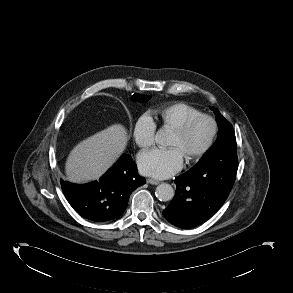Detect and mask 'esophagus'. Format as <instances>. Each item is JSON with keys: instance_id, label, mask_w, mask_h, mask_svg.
Listing matches in <instances>:
<instances>
[{"instance_id": "1", "label": "esophagus", "mask_w": 293, "mask_h": 293, "mask_svg": "<svg viewBox=\"0 0 293 293\" xmlns=\"http://www.w3.org/2000/svg\"><path fill=\"white\" fill-rule=\"evenodd\" d=\"M147 183L152 184V185L160 184V182L158 180H155V179H152V178H148Z\"/></svg>"}]
</instances>
